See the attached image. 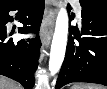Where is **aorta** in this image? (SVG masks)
<instances>
[{
    "mask_svg": "<svg viewBox=\"0 0 107 89\" xmlns=\"http://www.w3.org/2000/svg\"><path fill=\"white\" fill-rule=\"evenodd\" d=\"M68 21L67 10L62 6L57 15L50 51L49 71L51 75H55L60 70L65 57L68 37Z\"/></svg>",
    "mask_w": 107,
    "mask_h": 89,
    "instance_id": "762f6f07",
    "label": "aorta"
}]
</instances>
